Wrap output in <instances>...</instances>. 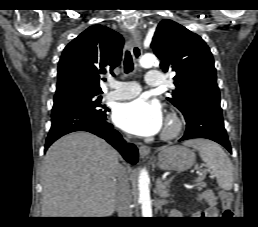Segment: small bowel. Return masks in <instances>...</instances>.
I'll list each match as a JSON object with an SVG mask.
<instances>
[{
	"label": "small bowel",
	"mask_w": 258,
	"mask_h": 227,
	"mask_svg": "<svg viewBox=\"0 0 258 227\" xmlns=\"http://www.w3.org/2000/svg\"><path fill=\"white\" fill-rule=\"evenodd\" d=\"M197 200L198 201L204 200L209 204V207L204 212L197 213L198 215L207 217V218H215L219 216L218 203L213 191L211 190L204 191L198 196Z\"/></svg>",
	"instance_id": "1"
}]
</instances>
